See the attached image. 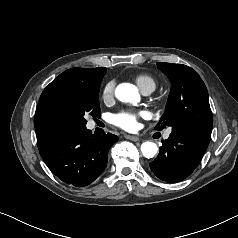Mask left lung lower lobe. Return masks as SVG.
<instances>
[{"instance_id": "left-lung-lower-lobe-1", "label": "left lung lower lobe", "mask_w": 238, "mask_h": 238, "mask_svg": "<svg viewBox=\"0 0 238 238\" xmlns=\"http://www.w3.org/2000/svg\"><path fill=\"white\" fill-rule=\"evenodd\" d=\"M209 142L210 138L198 134L172 131L150 168L163 181L179 182L199 165Z\"/></svg>"}]
</instances>
